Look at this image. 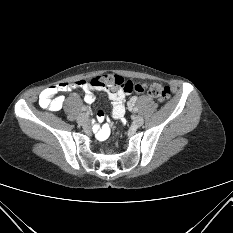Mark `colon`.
I'll return each mask as SVG.
<instances>
[{"label":"colon","mask_w":233,"mask_h":233,"mask_svg":"<svg viewBox=\"0 0 233 233\" xmlns=\"http://www.w3.org/2000/svg\"><path fill=\"white\" fill-rule=\"evenodd\" d=\"M104 77V85L110 88H118L126 93H148L160 103L166 102L170 98V88L157 83H133L130 80L116 74L100 75ZM98 77V76H97ZM94 77V78H97Z\"/></svg>","instance_id":"colon-1"}]
</instances>
